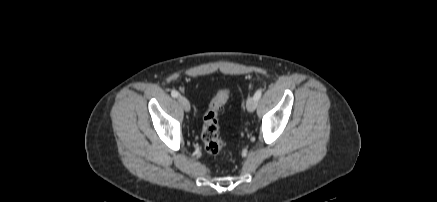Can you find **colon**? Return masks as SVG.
<instances>
[{
    "mask_svg": "<svg viewBox=\"0 0 437 202\" xmlns=\"http://www.w3.org/2000/svg\"><path fill=\"white\" fill-rule=\"evenodd\" d=\"M228 97V89L224 88L219 90L216 96L210 102L203 117L201 138L206 152L210 155L219 154L224 147V141L219 135L218 112L225 105Z\"/></svg>",
    "mask_w": 437,
    "mask_h": 202,
    "instance_id": "5ec220e1",
    "label": "colon"
}]
</instances>
